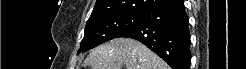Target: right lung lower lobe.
Listing matches in <instances>:
<instances>
[{"instance_id": "right-lung-lower-lobe-1", "label": "right lung lower lobe", "mask_w": 246, "mask_h": 69, "mask_svg": "<svg viewBox=\"0 0 246 69\" xmlns=\"http://www.w3.org/2000/svg\"><path fill=\"white\" fill-rule=\"evenodd\" d=\"M188 24L183 0H168L143 12L141 22L119 37L140 41L173 69H189Z\"/></svg>"}]
</instances>
